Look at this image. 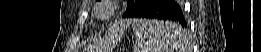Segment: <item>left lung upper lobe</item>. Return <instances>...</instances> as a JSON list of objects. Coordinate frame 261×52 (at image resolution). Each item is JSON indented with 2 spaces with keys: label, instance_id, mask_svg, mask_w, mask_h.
Returning <instances> with one entry per match:
<instances>
[{
  "label": "left lung upper lobe",
  "instance_id": "obj_1",
  "mask_svg": "<svg viewBox=\"0 0 261 52\" xmlns=\"http://www.w3.org/2000/svg\"><path fill=\"white\" fill-rule=\"evenodd\" d=\"M154 0H127L128 8L123 17H136L137 14Z\"/></svg>",
  "mask_w": 261,
  "mask_h": 52
}]
</instances>
